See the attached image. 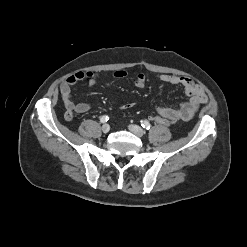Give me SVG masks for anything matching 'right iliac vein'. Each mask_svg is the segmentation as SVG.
I'll use <instances>...</instances> for the list:
<instances>
[{"mask_svg":"<svg viewBox=\"0 0 247 247\" xmlns=\"http://www.w3.org/2000/svg\"><path fill=\"white\" fill-rule=\"evenodd\" d=\"M101 129H102V131H103L104 133H107V132H109V130H110V126H109L108 124H104V125L101 127Z\"/></svg>","mask_w":247,"mask_h":247,"instance_id":"right-iliac-vein-1","label":"right iliac vein"}]
</instances>
